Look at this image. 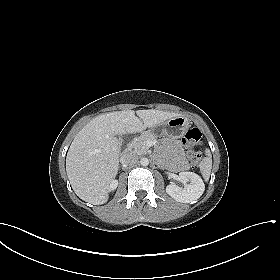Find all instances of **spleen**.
Segmentation results:
<instances>
[{"mask_svg":"<svg viewBox=\"0 0 280 280\" xmlns=\"http://www.w3.org/2000/svg\"><path fill=\"white\" fill-rule=\"evenodd\" d=\"M205 152L207 156L200 162V170L204 179L208 180L212 169V158L209 149H206Z\"/></svg>","mask_w":280,"mask_h":280,"instance_id":"3e777b00","label":"spleen"}]
</instances>
